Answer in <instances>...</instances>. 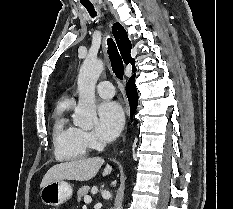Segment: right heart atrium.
Returning a JSON list of instances; mask_svg holds the SVG:
<instances>
[{
  "instance_id": "d8ad5b80",
  "label": "right heart atrium",
  "mask_w": 233,
  "mask_h": 209,
  "mask_svg": "<svg viewBox=\"0 0 233 209\" xmlns=\"http://www.w3.org/2000/svg\"><path fill=\"white\" fill-rule=\"evenodd\" d=\"M79 134L82 142L88 148L98 149L102 146V143L98 140L93 132L79 129Z\"/></svg>"
}]
</instances>
